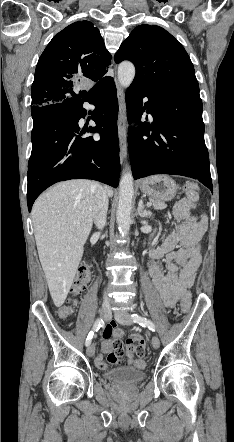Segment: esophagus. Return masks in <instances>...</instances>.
<instances>
[{
    "label": "esophagus",
    "instance_id": "esophagus-1",
    "mask_svg": "<svg viewBox=\"0 0 234 442\" xmlns=\"http://www.w3.org/2000/svg\"><path fill=\"white\" fill-rule=\"evenodd\" d=\"M116 88H117V98L119 103L118 109V137L120 145V160L123 163L127 155V134H126V106L123 88L120 85L117 78H115Z\"/></svg>",
    "mask_w": 234,
    "mask_h": 442
}]
</instances>
